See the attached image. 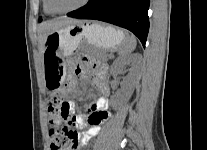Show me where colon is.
<instances>
[{
	"instance_id": "1",
	"label": "colon",
	"mask_w": 207,
	"mask_h": 150,
	"mask_svg": "<svg viewBox=\"0 0 207 150\" xmlns=\"http://www.w3.org/2000/svg\"><path fill=\"white\" fill-rule=\"evenodd\" d=\"M70 102L61 99L59 95H52L48 104V115L53 125L49 130L51 150H77L78 133L70 127V116L67 110Z\"/></svg>"
}]
</instances>
